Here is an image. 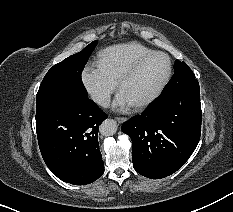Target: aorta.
<instances>
[{
    "mask_svg": "<svg viewBox=\"0 0 233 212\" xmlns=\"http://www.w3.org/2000/svg\"><path fill=\"white\" fill-rule=\"evenodd\" d=\"M117 127L118 126L115 120L106 119L100 125V133L105 137L112 136L116 133Z\"/></svg>",
    "mask_w": 233,
    "mask_h": 212,
    "instance_id": "1",
    "label": "aorta"
}]
</instances>
